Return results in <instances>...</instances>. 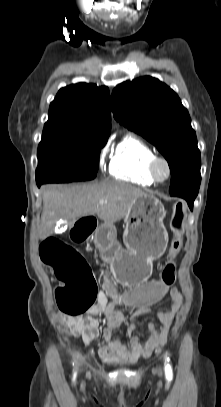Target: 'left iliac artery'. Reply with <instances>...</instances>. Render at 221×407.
Wrapping results in <instances>:
<instances>
[{"label": "left iliac artery", "mask_w": 221, "mask_h": 407, "mask_svg": "<svg viewBox=\"0 0 221 407\" xmlns=\"http://www.w3.org/2000/svg\"><path fill=\"white\" fill-rule=\"evenodd\" d=\"M165 361L167 362V363H166V366H165L166 375H167L168 378H171V377H172V369H171L170 364L168 363V362H169V358L166 357V358H165Z\"/></svg>", "instance_id": "1"}]
</instances>
